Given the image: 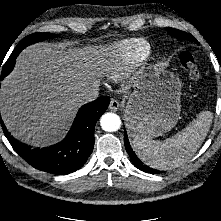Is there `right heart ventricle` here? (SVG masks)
<instances>
[{
    "mask_svg": "<svg viewBox=\"0 0 221 221\" xmlns=\"http://www.w3.org/2000/svg\"><path fill=\"white\" fill-rule=\"evenodd\" d=\"M150 45L143 39H128L109 46L101 60V71L111 81L126 78L149 55Z\"/></svg>",
    "mask_w": 221,
    "mask_h": 221,
    "instance_id": "e07e8e85",
    "label": "right heart ventricle"
}]
</instances>
